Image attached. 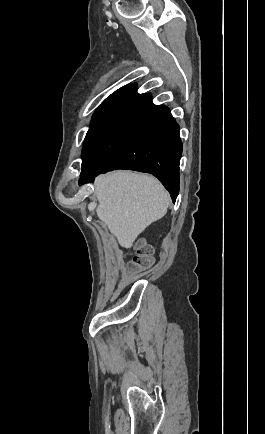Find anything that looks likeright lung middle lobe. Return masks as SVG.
Listing matches in <instances>:
<instances>
[{
    "label": "right lung middle lobe",
    "instance_id": "dd1d6c3e",
    "mask_svg": "<svg viewBox=\"0 0 265 434\" xmlns=\"http://www.w3.org/2000/svg\"><path fill=\"white\" fill-rule=\"evenodd\" d=\"M125 87H121L120 89H118L114 93H112L108 98H106L103 101V103L99 106V108L96 110L95 114L93 115L91 126L87 132L84 146H83V150H82V158L83 159L87 155L89 148L92 145L95 137L97 136L102 124L106 120L111 109L113 108V106L117 102L118 98L122 94Z\"/></svg>",
    "mask_w": 265,
    "mask_h": 434
}]
</instances>
